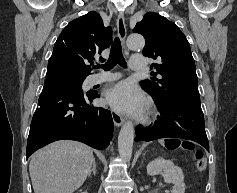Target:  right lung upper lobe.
<instances>
[{"instance_id":"1","label":"right lung upper lobe","mask_w":237,"mask_h":193,"mask_svg":"<svg viewBox=\"0 0 237 193\" xmlns=\"http://www.w3.org/2000/svg\"><path fill=\"white\" fill-rule=\"evenodd\" d=\"M112 42V30L105 28L94 11L71 21L55 42L47 71L57 70L86 78L92 70L94 55L100 54Z\"/></svg>"}]
</instances>
